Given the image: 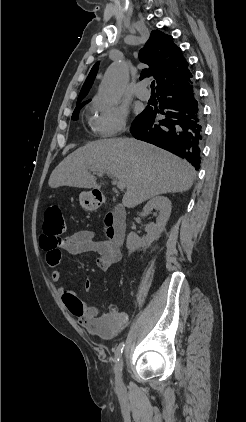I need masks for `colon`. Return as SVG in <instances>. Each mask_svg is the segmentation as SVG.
<instances>
[{"instance_id": "5ec220e1", "label": "colon", "mask_w": 246, "mask_h": 422, "mask_svg": "<svg viewBox=\"0 0 246 422\" xmlns=\"http://www.w3.org/2000/svg\"><path fill=\"white\" fill-rule=\"evenodd\" d=\"M65 222L61 207L51 204L45 211L44 231L50 235L58 236L63 233Z\"/></svg>"}]
</instances>
